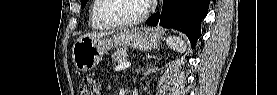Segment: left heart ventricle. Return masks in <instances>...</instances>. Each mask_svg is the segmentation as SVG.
Returning <instances> with one entry per match:
<instances>
[{
    "instance_id": "b2bd125f",
    "label": "left heart ventricle",
    "mask_w": 277,
    "mask_h": 95,
    "mask_svg": "<svg viewBox=\"0 0 277 95\" xmlns=\"http://www.w3.org/2000/svg\"><path fill=\"white\" fill-rule=\"evenodd\" d=\"M143 10V0H109L103 12L108 17L131 19L140 15Z\"/></svg>"
}]
</instances>
